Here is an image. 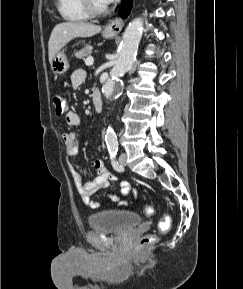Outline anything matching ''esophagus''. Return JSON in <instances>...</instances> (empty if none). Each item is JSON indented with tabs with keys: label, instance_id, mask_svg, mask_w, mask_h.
<instances>
[{
	"label": "esophagus",
	"instance_id": "obj_1",
	"mask_svg": "<svg viewBox=\"0 0 243 289\" xmlns=\"http://www.w3.org/2000/svg\"><path fill=\"white\" fill-rule=\"evenodd\" d=\"M123 25L124 20L121 17H116L107 23L105 27V32L111 34H118L122 30Z\"/></svg>",
	"mask_w": 243,
	"mask_h": 289
}]
</instances>
